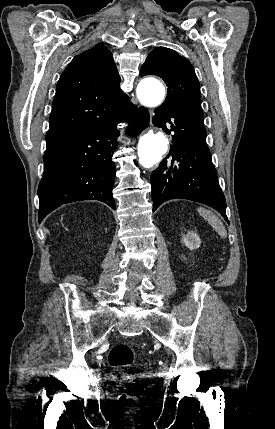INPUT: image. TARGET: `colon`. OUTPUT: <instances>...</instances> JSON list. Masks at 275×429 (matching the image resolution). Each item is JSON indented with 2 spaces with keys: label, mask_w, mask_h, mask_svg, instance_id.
<instances>
[{
  "label": "colon",
  "mask_w": 275,
  "mask_h": 429,
  "mask_svg": "<svg viewBox=\"0 0 275 429\" xmlns=\"http://www.w3.org/2000/svg\"><path fill=\"white\" fill-rule=\"evenodd\" d=\"M108 361L113 369V375L118 380H124L125 388L128 391H138L140 383L138 381L129 379L126 370L134 362V353L130 346L126 344H119L114 346L108 356ZM122 403H133L135 398L127 393H124L119 398Z\"/></svg>",
  "instance_id": "1"
}]
</instances>
